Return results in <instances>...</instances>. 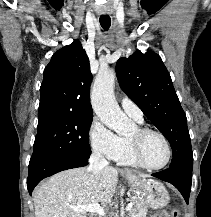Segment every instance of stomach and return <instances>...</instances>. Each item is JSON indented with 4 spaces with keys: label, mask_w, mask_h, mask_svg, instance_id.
Here are the masks:
<instances>
[{
    "label": "stomach",
    "mask_w": 211,
    "mask_h": 217,
    "mask_svg": "<svg viewBox=\"0 0 211 217\" xmlns=\"http://www.w3.org/2000/svg\"><path fill=\"white\" fill-rule=\"evenodd\" d=\"M128 182L135 188L140 190L144 197L145 204L152 209H161L165 207L169 200V194L165 186L156 180L144 179L131 174L125 173Z\"/></svg>",
    "instance_id": "obj_1"
}]
</instances>
